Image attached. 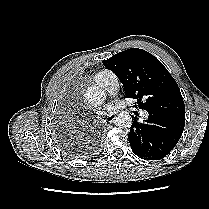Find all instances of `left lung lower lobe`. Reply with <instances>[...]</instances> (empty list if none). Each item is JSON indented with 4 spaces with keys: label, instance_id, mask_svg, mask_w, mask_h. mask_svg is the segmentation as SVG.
I'll return each mask as SVG.
<instances>
[{
    "label": "left lung lower lobe",
    "instance_id": "obj_1",
    "mask_svg": "<svg viewBox=\"0 0 209 209\" xmlns=\"http://www.w3.org/2000/svg\"><path fill=\"white\" fill-rule=\"evenodd\" d=\"M185 120L173 115L149 114L145 123L134 118L128 134L132 151L145 160H159L178 143Z\"/></svg>",
    "mask_w": 209,
    "mask_h": 209
}]
</instances>
